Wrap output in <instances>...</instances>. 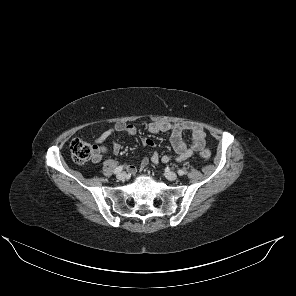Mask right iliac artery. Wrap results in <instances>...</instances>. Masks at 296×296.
Here are the masks:
<instances>
[{
	"label": "right iliac artery",
	"mask_w": 296,
	"mask_h": 296,
	"mask_svg": "<svg viewBox=\"0 0 296 296\" xmlns=\"http://www.w3.org/2000/svg\"><path fill=\"white\" fill-rule=\"evenodd\" d=\"M123 170V166H118L115 168L114 170V174H118L119 172H121Z\"/></svg>",
	"instance_id": "obj_1"
}]
</instances>
